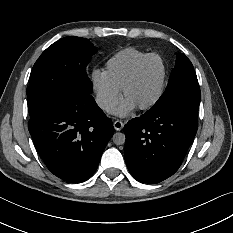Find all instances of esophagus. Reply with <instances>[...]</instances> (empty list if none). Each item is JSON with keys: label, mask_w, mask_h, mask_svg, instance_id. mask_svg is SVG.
Instances as JSON below:
<instances>
[{"label": "esophagus", "mask_w": 233, "mask_h": 233, "mask_svg": "<svg viewBox=\"0 0 233 233\" xmlns=\"http://www.w3.org/2000/svg\"><path fill=\"white\" fill-rule=\"evenodd\" d=\"M113 126L115 128L116 131H120L122 128H123V123L120 121V120H116L114 123H113Z\"/></svg>", "instance_id": "esophagus-1"}]
</instances>
